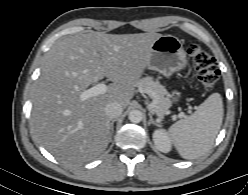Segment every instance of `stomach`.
Masks as SVG:
<instances>
[{
  "label": "stomach",
  "mask_w": 248,
  "mask_h": 195,
  "mask_svg": "<svg viewBox=\"0 0 248 195\" xmlns=\"http://www.w3.org/2000/svg\"><path fill=\"white\" fill-rule=\"evenodd\" d=\"M187 66V57L182 42L175 36L164 35L151 46L147 67L156 70L169 78L174 72ZM181 97L179 91L169 95L171 102H178Z\"/></svg>",
  "instance_id": "obj_1"
}]
</instances>
